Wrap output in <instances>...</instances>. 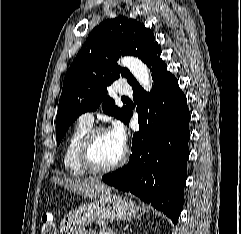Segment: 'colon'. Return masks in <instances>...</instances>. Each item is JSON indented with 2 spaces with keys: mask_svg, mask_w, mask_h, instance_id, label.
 <instances>
[{
  "mask_svg": "<svg viewBox=\"0 0 241 234\" xmlns=\"http://www.w3.org/2000/svg\"><path fill=\"white\" fill-rule=\"evenodd\" d=\"M39 234H56V225L51 213H44Z\"/></svg>",
  "mask_w": 241,
  "mask_h": 234,
  "instance_id": "1",
  "label": "colon"
}]
</instances>
